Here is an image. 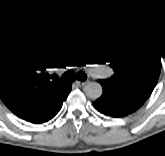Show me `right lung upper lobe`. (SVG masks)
I'll return each instance as SVG.
<instances>
[{
	"instance_id": "right-lung-upper-lobe-1",
	"label": "right lung upper lobe",
	"mask_w": 165,
	"mask_h": 156,
	"mask_svg": "<svg viewBox=\"0 0 165 156\" xmlns=\"http://www.w3.org/2000/svg\"><path fill=\"white\" fill-rule=\"evenodd\" d=\"M53 55L47 32L0 45V98L18 117L28 119L43 112L69 88L43 72L52 64Z\"/></svg>"
}]
</instances>
